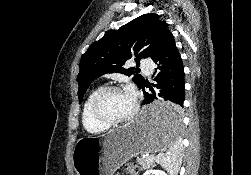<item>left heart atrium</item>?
<instances>
[{
    "label": "left heart atrium",
    "instance_id": "1",
    "mask_svg": "<svg viewBox=\"0 0 251 175\" xmlns=\"http://www.w3.org/2000/svg\"><path fill=\"white\" fill-rule=\"evenodd\" d=\"M124 92L127 95V97L131 100V102L134 103L136 100V94L133 87L131 86L127 87Z\"/></svg>",
    "mask_w": 251,
    "mask_h": 175
}]
</instances>
